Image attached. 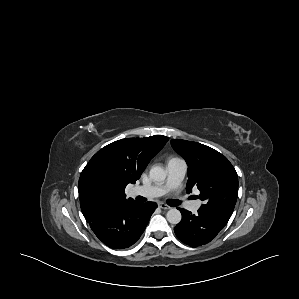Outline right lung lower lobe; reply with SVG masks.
<instances>
[{"mask_svg":"<svg viewBox=\"0 0 299 299\" xmlns=\"http://www.w3.org/2000/svg\"><path fill=\"white\" fill-rule=\"evenodd\" d=\"M156 203L129 200L109 208L83 212L95 235L108 247L123 249L133 245L144 232Z\"/></svg>","mask_w":299,"mask_h":299,"instance_id":"obj_1","label":"right lung lower lobe"}]
</instances>
